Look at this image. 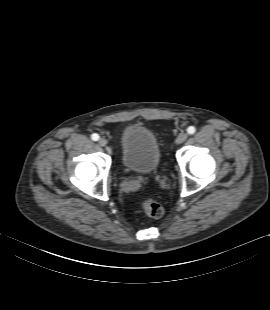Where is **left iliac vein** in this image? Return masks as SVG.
Returning <instances> with one entry per match:
<instances>
[{
    "mask_svg": "<svg viewBox=\"0 0 270 310\" xmlns=\"http://www.w3.org/2000/svg\"><path fill=\"white\" fill-rule=\"evenodd\" d=\"M187 138H188V134H187V133H180V134L177 136V138H176V140H175V143H176V144H181V143H183L184 141H186Z\"/></svg>",
    "mask_w": 270,
    "mask_h": 310,
    "instance_id": "4c4485c4",
    "label": "left iliac vein"
}]
</instances>
